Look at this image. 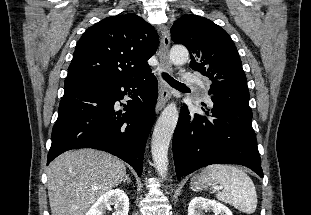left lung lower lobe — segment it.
I'll return each instance as SVG.
<instances>
[{
	"mask_svg": "<svg viewBox=\"0 0 311 215\" xmlns=\"http://www.w3.org/2000/svg\"><path fill=\"white\" fill-rule=\"evenodd\" d=\"M209 95L202 114L181 107L173 135L177 177L210 164H240L263 177L249 101Z\"/></svg>",
	"mask_w": 311,
	"mask_h": 215,
	"instance_id": "1",
	"label": "left lung lower lobe"
}]
</instances>
